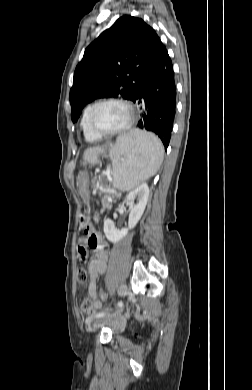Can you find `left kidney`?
<instances>
[{"label": "left kidney", "instance_id": "5707ae66", "mask_svg": "<svg viewBox=\"0 0 252 390\" xmlns=\"http://www.w3.org/2000/svg\"><path fill=\"white\" fill-rule=\"evenodd\" d=\"M149 196V187L143 183L135 190L126 195L124 203L129 207L128 227L118 230L115 223L111 219L104 221V233L106 238L112 242L117 243L125 237L128 231L136 226L145 210ZM135 199L137 203L134 204Z\"/></svg>", "mask_w": 252, "mask_h": 390}]
</instances>
